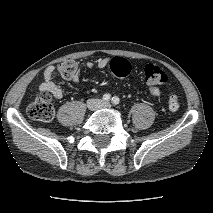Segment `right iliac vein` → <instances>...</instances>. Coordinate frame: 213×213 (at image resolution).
<instances>
[{"label":"right iliac vein","instance_id":"right-iliac-vein-1","mask_svg":"<svg viewBox=\"0 0 213 213\" xmlns=\"http://www.w3.org/2000/svg\"><path fill=\"white\" fill-rule=\"evenodd\" d=\"M99 106V101L93 100L88 104L90 110H95Z\"/></svg>","mask_w":213,"mask_h":213}]
</instances>
